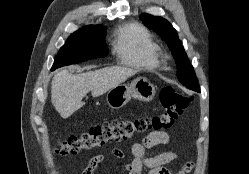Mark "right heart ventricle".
Instances as JSON below:
<instances>
[{"mask_svg":"<svg viewBox=\"0 0 249 174\" xmlns=\"http://www.w3.org/2000/svg\"><path fill=\"white\" fill-rule=\"evenodd\" d=\"M114 51L126 66L139 69L159 66V48L148 30L139 23H126L117 29Z\"/></svg>","mask_w":249,"mask_h":174,"instance_id":"obj_1","label":"right heart ventricle"}]
</instances>
